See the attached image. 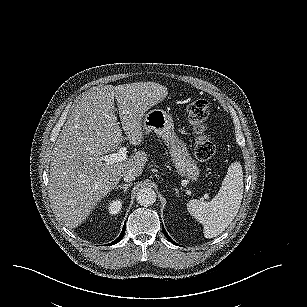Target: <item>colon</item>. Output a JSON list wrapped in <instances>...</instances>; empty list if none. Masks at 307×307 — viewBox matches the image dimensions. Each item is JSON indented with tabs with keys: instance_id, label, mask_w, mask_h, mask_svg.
Wrapping results in <instances>:
<instances>
[{
	"instance_id": "obj_1",
	"label": "colon",
	"mask_w": 307,
	"mask_h": 307,
	"mask_svg": "<svg viewBox=\"0 0 307 307\" xmlns=\"http://www.w3.org/2000/svg\"><path fill=\"white\" fill-rule=\"evenodd\" d=\"M185 111L196 134L195 156L200 161H207L216 152L215 143L208 133L209 104L204 99H194L186 104Z\"/></svg>"
}]
</instances>
